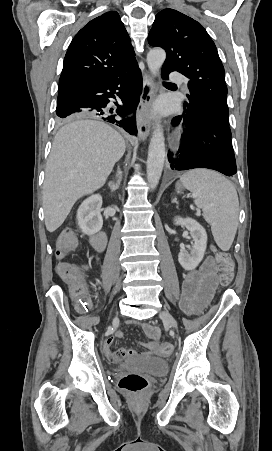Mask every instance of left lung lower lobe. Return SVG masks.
I'll use <instances>...</instances> for the list:
<instances>
[{"label":"left lung lower lobe","instance_id":"left-lung-lower-lobe-1","mask_svg":"<svg viewBox=\"0 0 272 451\" xmlns=\"http://www.w3.org/2000/svg\"><path fill=\"white\" fill-rule=\"evenodd\" d=\"M170 72L162 68V78L167 80ZM180 122L185 126L181 135L183 143L177 151V159L169 156L172 169L208 168L227 176L236 173L229 123L205 110L184 113L173 119V125Z\"/></svg>","mask_w":272,"mask_h":451}]
</instances>
